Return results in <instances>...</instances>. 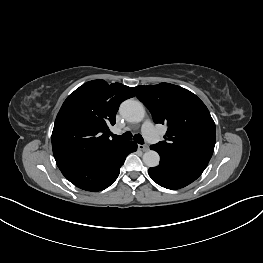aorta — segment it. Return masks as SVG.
Here are the masks:
<instances>
[{"label": "aorta", "instance_id": "1", "mask_svg": "<svg viewBox=\"0 0 263 263\" xmlns=\"http://www.w3.org/2000/svg\"><path fill=\"white\" fill-rule=\"evenodd\" d=\"M120 114L129 122H141L145 117V108L139 101L128 99L120 105ZM143 162L148 167L159 165L160 156L156 151L149 150L143 155Z\"/></svg>", "mask_w": 263, "mask_h": 263}]
</instances>
